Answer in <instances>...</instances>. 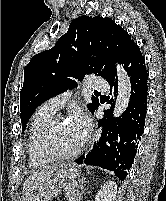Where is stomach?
Listing matches in <instances>:
<instances>
[{
    "instance_id": "0dacf381",
    "label": "stomach",
    "mask_w": 166,
    "mask_h": 201,
    "mask_svg": "<svg viewBox=\"0 0 166 201\" xmlns=\"http://www.w3.org/2000/svg\"><path fill=\"white\" fill-rule=\"evenodd\" d=\"M79 175L75 165H64L38 186L32 201H52L65 187L71 186Z\"/></svg>"
}]
</instances>
